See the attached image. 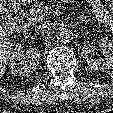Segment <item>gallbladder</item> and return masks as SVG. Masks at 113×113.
I'll return each mask as SVG.
<instances>
[{
  "instance_id": "bac80fb5",
  "label": "gallbladder",
  "mask_w": 113,
  "mask_h": 113,
  "mask_svg": "<svg viewBox=\"0 0 113 113\" xmlns=\"http://www.w3.org/2000/svg\"><path fill=\"white\" fill-rule=\"evenodd\" d=\"M6 1L7 0H0V6H1V8H4ZM11 1H15V0H11Z\"/></svg>"
}]
</instances>
